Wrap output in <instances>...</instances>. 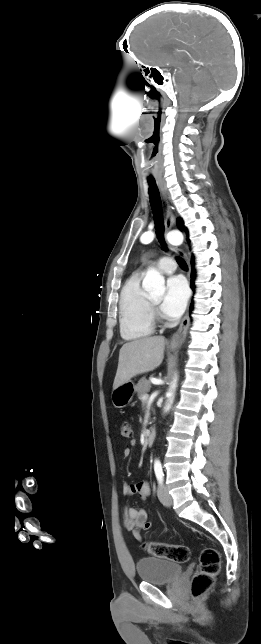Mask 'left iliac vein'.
<instances>
[{"mask_svg":"<svg viewBox=\"0 0 261 644\" xmlns=\"http://www.w3.org/2000/svg\"><path fill=\"white\" fill-rule=\"evenodd\" d=\"M157 494H158V498H159L160 502L164 506L169 507V506L172 505V497L169 494L168 489L165 486L160 485L158 487Z\"/></svg>","mask_w":261,"mask_h":644,"instance_id":"left-iliac-vein-1","label":"left iliac vein"}]
</instances>
